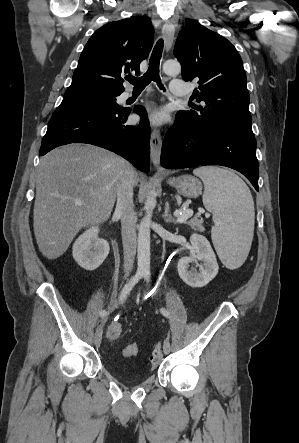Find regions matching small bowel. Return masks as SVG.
<instances>
[{
	"mask_svg": "<svg viewBox=\"0 0 299 443\" xmlns=\"http://www.w3.org/2000/svg\"><path fill=\"white\" fill-rule=\"evenodd\" d=\"M115 304H116V303H115V300H112V301H111V304H110V307H109V311H110V312H112V311L114 310V308H115Z\"/></svg>",
	"mask_w": 299,
	"mask_h": 443,
	"instance_id": "c3829d8e",
	"label": "small bowel"
}]
</instances>
